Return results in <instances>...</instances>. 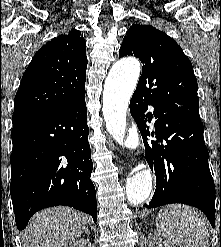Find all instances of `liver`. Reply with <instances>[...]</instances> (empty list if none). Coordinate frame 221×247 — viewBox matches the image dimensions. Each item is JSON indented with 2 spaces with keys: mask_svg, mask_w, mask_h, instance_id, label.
<instances>
[{
  "mask_svg": "<svg viewBox=\"0 0 221 247\" xmlns=\"http://www.w3.org/2000/svg\"><path fill=\"white\" fill-rule=\"evenodd\" d=\"M87 217L72 208L58 206L32 217L23 233L24 247H68L83 234Z\"/></svg>",
  "mask_w": 221,
  "mask_h": 247,
  "instance_id": "liver-1",
  "label": "liver"
}]
</instances>
